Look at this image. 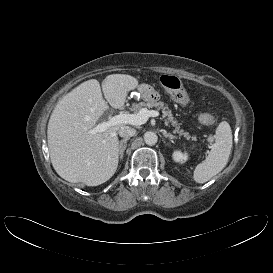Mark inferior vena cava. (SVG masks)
<instances>
[{
	"instance_id": "obj_1",
	"label": "inferior vena cava",
	"mask_w": 273,
	"mask_h": 273,
	"mask_svg": "<svg viewBox=\"0 0 273 273\" xmlns=\"http://www.w3.org/2000/svg\"><path fill=\"white\" fill-rule=\"evenodd\" d=\"M118 134L123 138H129V137H132L136 134V129L132 128L130 126H122L118 130Z\"/></svg>"
}]
</instances>
